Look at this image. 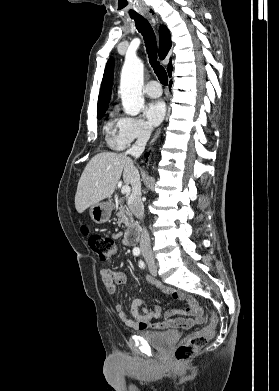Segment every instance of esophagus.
Listing matches in <instances>:
<instances>
[{
  "label": "esophagus",
  "instance_id": "esophagus-1",
  "mask_svg": "<svg viewBox=\"0 0 279 391\" xmlns=\"http://www.w3.org/2000/svg\"><path fill=\"white\" fill-rule=\"evenodd\" d=\"M160 133H161V128L158 129L157 132L155 133V135L151 141V144H153L157 140V138L160 136Z\"/></svg>",
  "mask_w": 279,
  "mask_h": 391
}]
</instances>
